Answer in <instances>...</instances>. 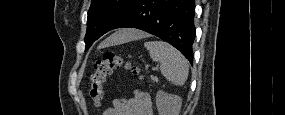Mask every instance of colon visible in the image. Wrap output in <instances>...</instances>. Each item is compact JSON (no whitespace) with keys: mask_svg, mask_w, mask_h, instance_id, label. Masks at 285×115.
I'll return each mask as SVG.
<instances>
[{"mask_svg":"<svg viewBox=\"0 0 285 115\" xmlns=\"http://www.w3.org/2000/svg\"><path fill=\"white\" fill-rule=\"evenodd\" d=\"M124 66L134 74H139V69L129 62H125L120 56L112 52H106L103 59L97 60L94 71L90 75L88 95L94 106L100 107L104 99V87L112 72Z\"/></svg>","mask_w":285,"mask_h":115,"instance_id":"5ec220e1","label":"colon"}]
</instances>
